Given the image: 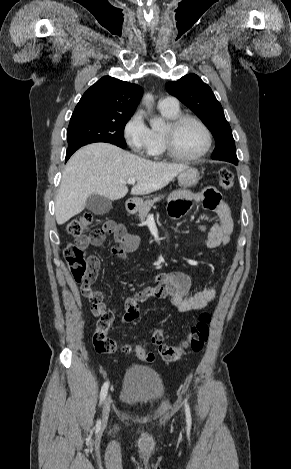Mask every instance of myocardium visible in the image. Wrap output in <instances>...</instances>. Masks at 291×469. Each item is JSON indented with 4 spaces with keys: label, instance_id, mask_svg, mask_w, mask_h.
Returning a JSON list of instances; mask_svg holds the SVG:
<instances>
[{
    "label": "myocardium",
    "instance_id": "1",
    "mask_svg": "<svg viewBox=\"0 0 291 469\" xmlns=\"http://www.w3.org/2000/svg\"><path fill=\"white\" fill-rule=\"evenodd\" d=\"M186 121H192L196 123L204 132L205 135V145L200 153L195 156L185 157L180 155L175 147L173 142V135L177 128ZM162 140L165 153L172 159L179 162H196L202 159L207 155L212 146V134L207 125L200 120L198 117L190 114H179L176 117L169 120L164 130H162Z\"/></svg>",
    "mask_w": 291,
    "mask_h": 469
}]
</instances>
